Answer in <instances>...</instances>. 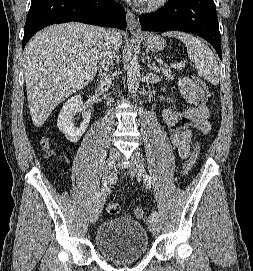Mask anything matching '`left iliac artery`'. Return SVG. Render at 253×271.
I'll return each instance as SVG.
<instances>
[{
	"instance_id": "1",
	"label": "left iliac artery",
	"mask_w": 253,
	"mask_h": 271,
	"mask_svg": "<svg viewBox=\"0 0 253 271\" xmlns=\"http://www.w3.org/2000/svg\"><path fill=\"white\" fill-rule=\"evenodd\" d=\"M140 171L143 173V180H144V183H145L146 187L150 188L151 187V178L148 175V173L146 172L143 165L140 167ZM151 216L155 217L157 220L159 219V214H158L157 211H153L151 213Z\"/></svg>"
}]
</instances>
